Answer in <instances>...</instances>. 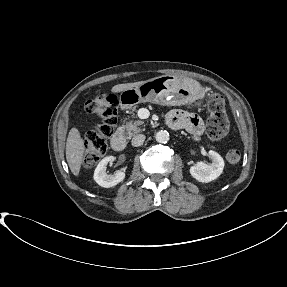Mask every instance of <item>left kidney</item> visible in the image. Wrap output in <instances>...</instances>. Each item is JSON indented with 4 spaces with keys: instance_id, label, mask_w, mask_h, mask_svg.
<instances>
[{
    "instance_id": "obj_1",
    "label": "left kidney",
    "mask_w": 287,
    "mask_h": 287,
    "mask_svg": "<svg viewBox=\"0 0 287 287\" xmlns=\"http://www.w3.org/2000/svg\"><path fill=\"white\" fill-rule=\"evenodd\" d=\"M212 163L197 162L190 167V174L199 182L207 183L219 177L224 168V160L217 152L210 150L208 152Z\"/></svg>"
}]
</instances>
